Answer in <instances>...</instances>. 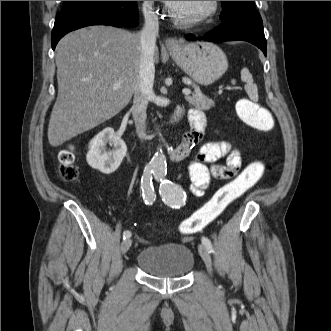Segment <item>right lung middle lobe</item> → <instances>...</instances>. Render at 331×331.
<instances>
[{"label": "right lung middle lobe", "instance_id": "1", "mask_svg": "<svg viewBox=\"0 0 331 331\" xmlns=\"http://www.w3.org/2000/svg\"><path fill=\"white\" fill-rule=\"evenodd\" d=\"M95 2H101V1H64L61 11L69 10L80 5H85Z\"/></svg>", "mask_w": 331, "mask_h": 331}]
</instances>
